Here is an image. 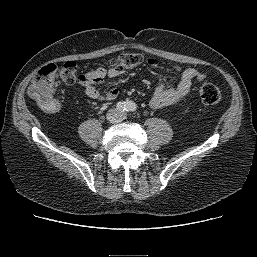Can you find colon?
Listing matches in <instances>:
<instances>
[{
    "instance_id": "colon-1",
    "label": "colon",
    "mask_w": 257,
    "mask_h": 257,
    "mask_svg": "<svg viewBox=\"0 0 257 257\" xmlns=\"http://www.w3.org/2000/svg\"><path fill=\"white\" fill-rule=\"evenodd\" d=\"M144 58L140 53H123L110 61L111 67L119 72L137 66L143 62ZM175 69H178L175 67ZM198 80L203 79V75L197 73ZM82 75L77 73V65L73 61H68L61 66L49 64L42 67L35 75L32 84L28 88V95L46 112H57L60 101L54 96L56 83L61 82L66 85H73L82 81ZM201 101L206 105L217 104L221 100V92L217 86L211 83H203L199 89Z\"/></svg>"
}]
</instances>
